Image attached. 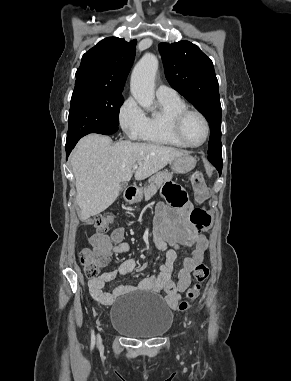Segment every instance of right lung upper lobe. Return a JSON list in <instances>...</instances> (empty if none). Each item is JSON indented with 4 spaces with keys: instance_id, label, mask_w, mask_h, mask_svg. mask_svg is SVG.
Instances as JSON below:
<instances>
[{
    "instance_id": "1",
    "label": "right lung upper lobe",
    "mask_w": 291,
    "mask_h": 381,
    "mask_svg": "<svg viewBox=\"0 0 291 381\" xmlns=\"http://www.w3.org/2000/svg\"><path fill=\"white\" fill-rule=\"evenodd\" d=\"M136 40L108 37L86 52L76 72L75 89L100 88L122 92L135 58Z\"/></svg>"
}]
</instances>
